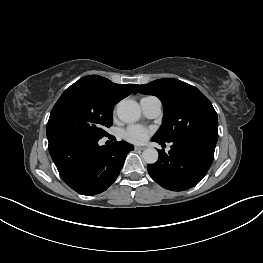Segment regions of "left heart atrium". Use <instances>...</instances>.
<instances>
[{"label": "left heart atrium", "mask_w": 263, "mask_h": 263, "mask_svg": "<svg viewBox=\"0 0 263 263\" xmlns=\"http://www.w3.org/2000/svg\"><path fill=\"white\" fill-rule=\"evenodd\" d=\"M148 135L149 130L139 125L129 126L123 133V136L127 141L135 144L144 142Z\"/></svg>", "instance_id": "left-heart-atrium-1"}]
</instances>
